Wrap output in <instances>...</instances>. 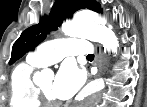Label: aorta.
<instances>
[{
	"label": "aorta",
	"instance_id": "aorta-1",
	"mask_svg": "<svg viewBox=\"0 0 147 107\" xmlns=\"http://www.w3.org/2000/svg\"><path fill=\"white\" fill-rule=\"evenodd\" d=\"M62 31L66 36L86 38L103 45L104 49L116 51L119 47V41L114 32L99 23L94 18L76 17L72 21L66 22L62 26ZM53 72L44 69L37 74V77H52ZM104 86L102 79H98L89 84L85 98L87 107L95 106L101 100V90Z\"/></svg>",
	"mask_w": 147,
	"mask_h": 107
}]
</instances>
